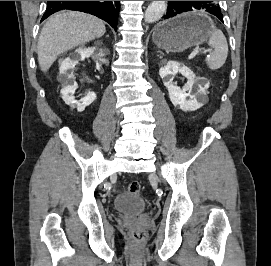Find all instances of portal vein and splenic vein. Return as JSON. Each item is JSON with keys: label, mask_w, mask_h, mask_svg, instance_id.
<instances>
[{"label": "portal vein and splenic vein", "mask_w": 271, "mask_h": 266, "mask_svg": "<svg viewBox=\"0 0 271 266\" xmlns=\"http://www.w3.org/2000/svg\"><path fill=\"white\" fill-rule=\"evenodd\" d=\"M199 52H200L199 48L196 47V48L193 50V52L189 55L188 58H189V59H193ZM204 52H206V51H204Z\"/></svg>", "instance_id": "18ae733b"}]
</instances>
